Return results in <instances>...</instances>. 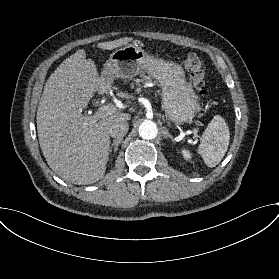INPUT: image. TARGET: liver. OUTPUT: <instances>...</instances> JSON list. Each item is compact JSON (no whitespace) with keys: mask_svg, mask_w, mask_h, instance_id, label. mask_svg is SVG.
<instances>
[{"mask_svg":"<svg viewBox=\"0 0 279 279\" xmlns=\"http://www.w3.org/2000/svg\"><path fill=\"white\" fill-rule=\"evenodd\" d=\"M124 37L101 42L113 50L131 42ZM112 82L109 73L99 77L84 49L66 58L45 83L36 115L40 148L49 167L61 178L78 185L93 184L104 177L108 162L111 125L131 119L128 113L84 116L82 110L102 86Z\"/></svg>","mask_w":279,"mask_h":279,"instance_id":"1","label":"liver"}]
</instances>
